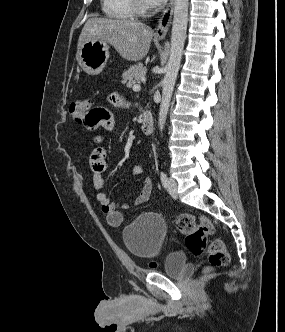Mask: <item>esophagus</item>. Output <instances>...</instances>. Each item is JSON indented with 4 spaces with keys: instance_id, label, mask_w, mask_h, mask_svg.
<instances>
[{
    "instance_id": "obj_1",
    "label": "esophagus",
    "mask_w": 285,
    "mask_h": 332,
    "mask_svg": "<svg viewBox=\"0 0 285 332\" xmlns=\"http://www.w3.org/2000/svg\"><path fill=\"white\" fill-rule=\"evenodd\" d=\"M174 10V0H170L159 20L155 36L164 38L169 30Z\"/></svg>"
}]
</instances>
